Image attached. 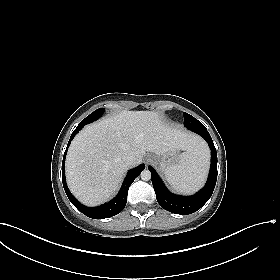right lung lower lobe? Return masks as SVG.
I'll use <instances>...</instances> for the list:
<instances>
[{
  "label": "right lung lower lobe",
  "mask_w": 280,
  "mask_h": 280,
  "mask_svg": "<svg viewBox=\"0 0 280 280\" xmlns=\"http://www.w3.org/2000/svg\"><path fill=\"white\" fill-rule=\"evenodd\" d=\"M83 126H84V124L80 122L79 125L77 126V128L74 130V132L72 133L70 140L68 142L66 151L64 153L63 162H62L63 187H64V190H65L69 200L84 215H86L87 217H90L92 219L109 218V217H112V216L120 213L124 209L126 202H127L128 189H129L130 185L133 183L134 179L144 170L145 165L141 164L138 167H136L128 172L118 195L110 202L103 204L101 206H98V207H93V208L82 205L75 199V197L70 193V191L67 187V184L65 181V156H66L67 149H68L72 139L83 128Z\"/></svg>",
  "instance_id": "right-lung-lower-lobe-1"
}]
</instances>
